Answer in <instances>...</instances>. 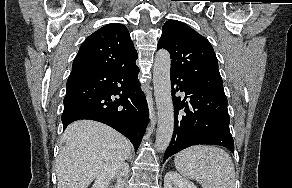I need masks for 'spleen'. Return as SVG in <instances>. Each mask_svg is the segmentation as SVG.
I'll use <instances>...</instances> for the list:
<instances>
[{"instance_id":"1","label":"spleen","mask_w":292,"mask_h":188,"mask_svg":"<svg viewBox=\"0 0 292 188\" xmlns=\"http://www.w3.org/2000/svg\"><path fill=\"white\" fill-rule=\"evenodd\" d=\"M181 175L198 181L203 188H234L235 169L230 155L210 145H195L175 155Z\"/></svg>"}]
</instances>
